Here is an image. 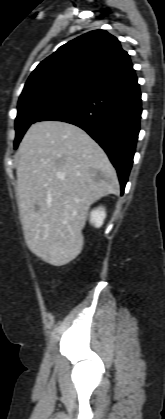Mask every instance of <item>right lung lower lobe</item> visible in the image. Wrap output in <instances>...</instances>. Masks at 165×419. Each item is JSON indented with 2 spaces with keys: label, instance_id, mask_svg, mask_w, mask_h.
<instances>
[{
  "label": "right lung lower lobe",
  "instance_id": "1",
  "mask_svg": "<svg viewBox=\"0 0 165 419\" xmlns=\"http://www.w3.org/2000/svg\"><path fill=\"white\" fill-rule=\"evenodd\" d=\"M142 113L134 70L46 113L38 121L56 120L85 130L107 153L124 193L133 163Z\"/></svg>",
  "mask_w": 165,
  "mask_h": 419
}]
</instances>
